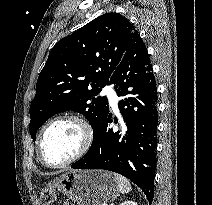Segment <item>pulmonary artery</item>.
I'll return each mask as SVG.
<instances>
[{
  "label": "pulmonary artery",
  "mask_w": 212,
  "mask_h": 205,
  "mask_svg": "<svg viewBox=\"0 0 212 205\" xmlns=\"http://www.w3.org/2000/svg\"><path fill=\"white\" fill-rule=\"evenodd\" d=\"M103 92L108 97L111 105L113 107H116L117 103H118V97H117L115 90L111 86H106L104 88Z\"/></svg>",
  "instance_id": "e3ab8cb5"
}]
</instances>
